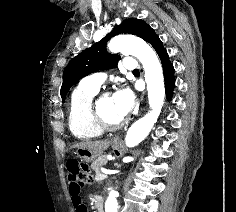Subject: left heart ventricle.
<instances>
[{"label":"left heart ventricle","instance_id":"1","mask_svg":"<svg viewBox=\"0 0 236 212\" xmlns=\"http://www.w3.org/2000/svg\"><path fill=\"white\" fill-rule=\"evenodd\" d=\"M100 111L103 116L110 122H118L123 118L120 117L116 112V107L113 99V95H109L103 98L99 104Z\"/></svg>","mask_w":236,"mask_h":212}]
</instances>
